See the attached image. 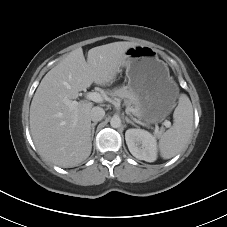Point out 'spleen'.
<instances>
[{"label": "spleen", "mask_w": 227, "mask_h": 227, "mask_svg": "<svg viewBox=\"0 0 227 227\" xmlns=\"http://www.w3.org/2000/svg\"><path fill=\"white\" fill-rule=\"evenodd\" d=\"M173 127L167 130L159 140L160 155L170 159L180 153L187 145L193 127V107L185 94H181L175 108Z\"/></svg>", "instance_id": "1"}]
</instances>
